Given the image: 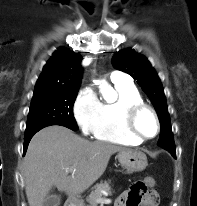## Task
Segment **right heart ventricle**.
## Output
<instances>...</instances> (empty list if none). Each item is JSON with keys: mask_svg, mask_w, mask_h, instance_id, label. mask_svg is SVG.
<instances>
[{"mask_svg": "<svg viewBox=\"0 0 197 206\" xmlns=\"http://www.w3.org/2000/svg\"><path fill=\"white\" fill-rule=\"evenodd\" d=\"M118 98L114 102L101 103V110L93 130L94 138L114 144L139 145L141 141L124 128L123 111L132 104L143 103L133 83H114Z\"/></svg>", "mask_w": 197, "mask_h": 206, "instance_id": "1", "label": "right heart ventricle"}]
</instances>
